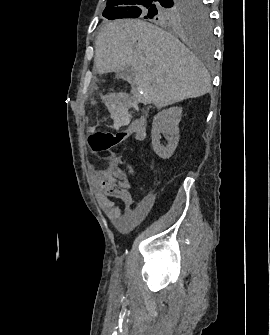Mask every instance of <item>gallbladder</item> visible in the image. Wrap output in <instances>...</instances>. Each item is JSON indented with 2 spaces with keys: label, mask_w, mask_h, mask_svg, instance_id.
Returning a JSON list of instances; mask_svg holds the SVG:
<instances>
[{
  "label": "gallbladder",
  "mask_w": 270,
  "mask_h": 335,
  "mask_svg": "<svg viewBox=\"0 0 270 335\" xmlns=\"http://www.w3.org/2000/svg\"><path fill=\"white\" fill-rule=\"evenodd\" d=\"M117 78H122L125 82H132L134 78V70L130 66H126L123 70H118Z\"/></svg>",
  "instance_id": "gallbladder-1"
}]
</instances>
